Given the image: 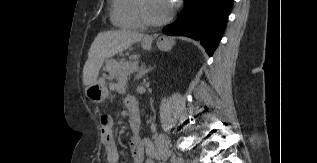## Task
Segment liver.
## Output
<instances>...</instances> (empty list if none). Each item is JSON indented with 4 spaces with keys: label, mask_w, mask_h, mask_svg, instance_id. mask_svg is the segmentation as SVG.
<instances>
[{
    "label": "liver",
    "mask_w": 317,
    "mask_h": 163,
    "mask_svg": "<svg viewBox=\"0 0 317 163\" xmlns=\"http://www.w3.org/2000/svg\"><path fill=\"white\" fill-rule=\"evenodd\" d=\"M143 35L125 30H110L99 33L88 52L83 68V84L89 86L99 75L104 61L143 39Z\"/></svg>",
    "instance_id": "1"
}]
</instances>
